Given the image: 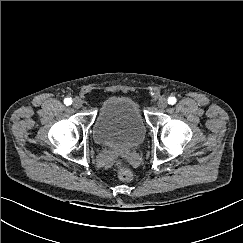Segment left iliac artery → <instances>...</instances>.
<instances>
[{
	"instance_id": "obj_1",
	"label": "left iliac artery",
	"mask_w": 243,
	"mask_h": 243,
	"mask_svg": "<svg viewBox=\"0 0 243 243\" xmlns=\"http://www.w3.org/2000/svg\"><path fill=\"white\" fill-rule=\"evenodd\" d=\"M168 103H169L170 105L175 104V103H176V98H175V97H169V98H168Z\"/></svg>"
}]
</instances>
